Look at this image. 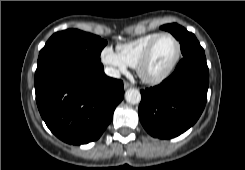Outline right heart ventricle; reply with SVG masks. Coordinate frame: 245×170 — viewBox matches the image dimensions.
I'll use <instances>...</instances> for the list:
<instances>
[{
    "label": "right heart ventricle",
    "mask_w": 245,
    "mask_h": 170,
    "mask_svg": "<svg viewBox=\"0 0 245 170\" xmlns=\"http://www.w3.org/2000/svg\"><path fill=\"white\" fill-rule=\"evenodd\" d=\"M158 35L150 33L137 39L120 44L117 46V52L123 61L130 67H136L137 61L147 45Z\"/></svg>",
    "instance_id": "1"
}]
</instances>
